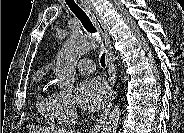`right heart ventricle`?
<instances>
[{
    "mask_svg": "<svg viewBox=\"0 0 184 133\" xmlns=\"http://www.w3.org/2000/svg\"><path fill=\"white\" fill-rule=\"evenodd\" d=\"M58 92L51 90L49 85H44L37 97L38 109L50 121H62L57 108Z\"/></svg>",
    "mask_w": 184,
    "mask_h": 133,
    "instance_id": "obj_1",
    "label": "right heart ventricle"
}]
</instances>
